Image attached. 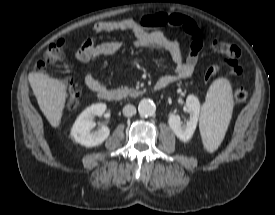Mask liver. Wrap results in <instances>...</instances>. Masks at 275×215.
<instances>
[{
  "mask_svg": "<svg viewBox=\"0 0 275 215\" xmlns=\"http://www.w3.org/2000/svg\"><path fill=\"white\" fill-rule=\"evenodd\" d=\"M28 80L41 111L51 126L57 128L68 96L67 84L61 79L39 72L29 73Z\"/></svg>",
  "mask_w": 275,
  "mask_h": 215,
  "instance_id": "1",
  "label": "liver"
}]
</instances>
